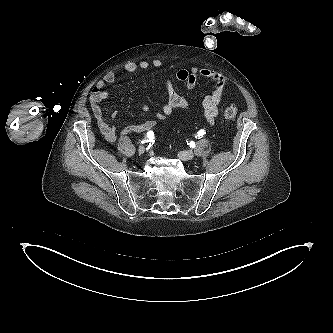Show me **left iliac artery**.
<instances>
[{"label": "left iliac artery", "instance_id": "1", "mask_svg": "<svg viewBox=\"0 0 333 333\" xmlns=\"http://www.w3.org/2000/svg\"><path fill=\"white\" fill-rule=\"evenodd\" d=\"M205 134H206L205 130L202 129V130L197 132V137L202 138Z\"/></svg>", "mask_w": 333, "mask_h": 333}]
</instances>
